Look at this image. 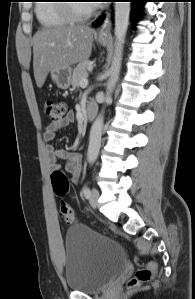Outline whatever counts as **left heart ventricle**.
<instances>
[{"mask_svg": "<svg viewBox=\"0 0 195 299\" xmlns=\"http://www.w3.org/2000/svg\"><path fill=\"white\" fill-rule=\"evenodd\" d=\"M75 4H76L75 5L76 9L80 12H87L92 9L91 4H89V3L81 2V3H75Z\"/></svg>", "mask_w": 195, "mask_h": 299, "instance_id": "left-heart-ventricle-1", "label": "left heart ventricle"}]
</instances>
